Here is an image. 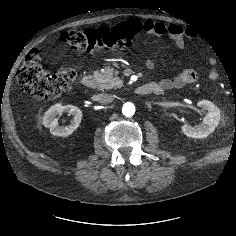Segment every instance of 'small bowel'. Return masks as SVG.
<instances>
[{
    "mask_svg": "<svg viewBox=\"0 0 236 236\" xmlns=\"http://www.w3.org/2000/svg\"><path fill=\"white\" fill-rule=\"evenodd\" d=\"M145 31L152 36L168 35L177 45L183 49L186 45V38L193 37V34H188V30L177 24H163L155 20H149L144 23ZM209 61L212 63L214 57L209 55ZM148 66H153V61H147ZM208 78L215 81L218 78V73L215 69H211L208 73ZM198 79L197 73L192 69H186L173 78L162 79L158 82L150 83L154 86V93L162 94L172 89L182 88L188 84L195 83Z\"/></svg>",
    "mask_w": 236,
    "mask_h": 236,
    "instance_id": "obj_1",
    "label": "small bowel"
}]
</instances>
